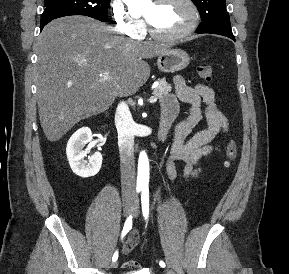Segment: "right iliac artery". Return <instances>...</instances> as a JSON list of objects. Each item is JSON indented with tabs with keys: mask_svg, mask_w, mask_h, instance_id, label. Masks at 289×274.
<instances>
[{
	"mask_svg": "<svg viewBox=\"0 0 289 274\" xmlns=\"http://www.w3.org/2000/svg\"><path fill=\"white\" fill-rule=\"evenodd\" d=\"M140 189H137V192H139ZM132 228V215H129V217L127 218L122 233H121V238L123 239V237L131 230ZM118 259V251H116L112 257V261L116 262Z\"/></svg>",
	"mask_w": 289,
	"mask_h": 274,
	"instance_id": "right-iliac-artery-1",
	"label": "right iliac artery"
}]
</instances>
